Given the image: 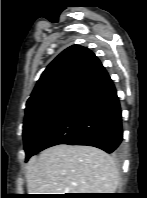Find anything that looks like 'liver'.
Returning <instances> with one entry per match:
<instances>
[{"label":"liver","mask_w":147,"mask_h":198,"mask_svg":"<svg viewBox=\"0 0 147 198\" xmlns=\"http://www.w3.org/2000/svg\"><path fill=\"white\" fill-rule=\"evenodd\" d=\"M29 194L114 193L119 176L106 152L86 145L59 144L26 165Z\"/></svg>","instance_id":"obj_1"}]
</instances>
